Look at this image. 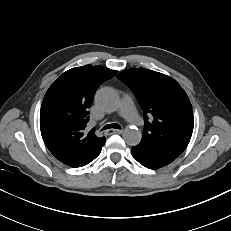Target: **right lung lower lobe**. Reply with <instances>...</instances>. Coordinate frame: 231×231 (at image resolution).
Wrapping results in <instances>:
<instances>
[{"mask_svg": "<svg viewBox=\"0 0 231 231\" xmlns=\"http://www.w3.org/2000/svg\"><path fill=\"white\" fill-rule=\"evenodd\" d=\"M101 152V151H100ZM100 152L96 155V156H94L91 160H89L86 164H88V163H90L92 160H94L99 154H100ZM86 164H84V165H86ZM83 165V166H84Z\"/></svg>", "mask_w": 231, "mask_h": 231, "instance_id": "1", "label": "right lung lower lobe"}]
</instances>
